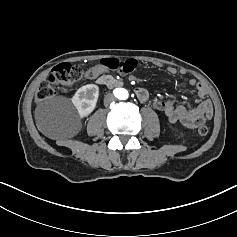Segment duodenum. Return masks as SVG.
I'll use <instances>...</instances> for the list:
<instances>
[{
  "mask_svg": "<svg viewBox=\"0 0 237 237\" xmlns=\"http://www.w3.org/2000/svg\"><path fill=\"white\" fill-rule=\"evenodd\" d=\"M97 83L99 85H102L104 87L108 88H116L123 86V82L119 79H116L114 77L108 76V75H101L97 78Z\"/></svg>",
  "mask_w": 237,
  "mask_h": 237,
  "instance_id": "1",
  "label": "duodenum"
}]
</instances>
